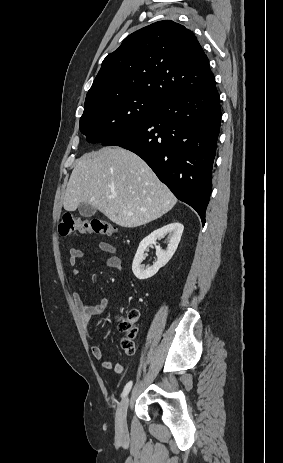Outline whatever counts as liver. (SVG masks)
I'll use <instances>...</instances> for the list:
<instances>
[{
    "mask_svg": "<svg viewBox=\"0 0 283 463\" xmlns=\"http://www.w3.org/2000/svg\"><path fill=\"white\" fill-rule=\"evenodd\" d=\"M176 202L139 156L121 147H105L77 161L63 206L75 211L81 203H88L117 225L134 228L160 218Z\"/></svg>",
    "mask_w": 283,
    "mask_h": 463,
    "instance_id": "6515ba94",
    "label": "liver"
}]
</instances>
